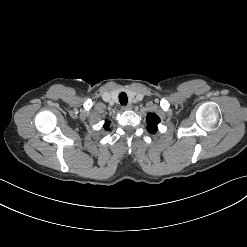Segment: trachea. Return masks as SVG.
Masks as SVG:
<instances>
[{
    "instance_id": "trachea-1",
    "label": "trachea",
    "mask_w": 247,
    "mask_h": 247,
    "mask_svg": "<svg viewBox=\"0 0 247 247\" xmlns=\"http://www.w3.org/2000/svg\"><path fill=\"white\" fill-rule=\"evenodd\" d=\"M119 102L121 105H127L128 103V97H127V94L124 93V92H121L119 94Z\"/></svg>"
}]
</instances>
